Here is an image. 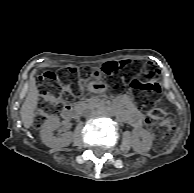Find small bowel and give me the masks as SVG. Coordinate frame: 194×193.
<instances>
[{
  "label": "small bowel",
  "mask_w": 194,
  "mask_h": 193,
  "mask_svg": "<svg viewBox=\"0 0 194 193\" xmlns=\"http://www.w3.org/2000/svg\"><path fill=\"white\" fill-rule=\"evenodd\" d=\"M125 104L127 106L129 122L135 128H140L144 124V115L137 111L130 100L126 99Z\"/></svg>",
  "instance_id": "c3829d8e"
}]
</instances>
